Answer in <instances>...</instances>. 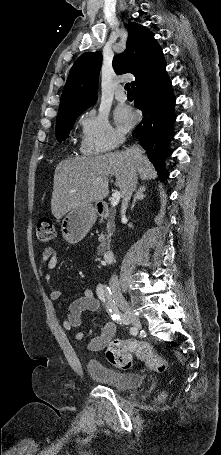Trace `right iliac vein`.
Masks as SVG:
<instances>
[{
  "instance_id": "1",
  "label": "right iliac vein",
  "mask_w": 221,
  "mask_h": 455,
  "mask_svg": "<svg viewBox=\"0 0 221 455\" xmlns=\"http://www.w3.org/2000/svg\"><path fill=\"white\" fill-rule=\"evenodd\" d=\"M116 303L118 304V306L126 313V315L128 316L130 322L136 327V328H141V322L138 318V316H136L131 307L129 306V304L127 303V301L125 300V298L122 296V295H116L114 297Z\"/></svg>"
}]
</instances>
